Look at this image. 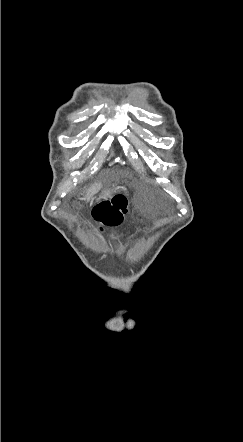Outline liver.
<instances>
[{"label": "liver", "mask_w": 243, "mask_h": 442, "mask_svg": "<svg viewBox=\"0 0 243 442\" xmlns=\"http://www.w3.org/2000/svg\"><path fill=\"white\" fill-rule=\"evenodd\" d=\"M101 187H102L101 183H95L91 185L87 189L84 199L88 202L93 197V195H95L101 189Z\"/></svg>", "instance_id": "liver-1"}]
</instances>
